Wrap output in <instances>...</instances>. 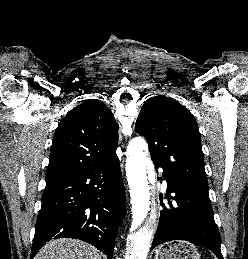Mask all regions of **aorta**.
Wrapping results in <instances>:
<instances>
[{"label": "aorta", "mask_w": 248, "mask_h": 259, "mask_svg": "<svg viewBox=\"0 0 248 259\" xmlns=\"http://www.w3.org/2000/svg\"><path fill=\"white\" fill-rule=\"evenodd\" d=\"M149 166L150 174L147 175ZM126 175L135 228L129 236L126 259H146L156 220L154 210L151 208L149 186V182H155V176L153 165L149 163L147 144L141 137L132 139L128 145Z\"/></svg>", "instance_id": "obj_1"}]
</instances>
